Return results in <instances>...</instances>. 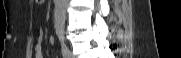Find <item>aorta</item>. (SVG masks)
<instances>
[{"mask_svg":"<svg viewBox=\"0 0 181 58\" xmlns=\"http://www.w3.org/2000/svg\"><path fill=\"white\" fill-rule=\"evenodd\" d=\"M68 0H56L54 8V28L56 33H63L65 28Z\"/></svg>","mask_w":181,"mask_h":58,"instance_id":"1","label":"aorta"}]
</instances>
